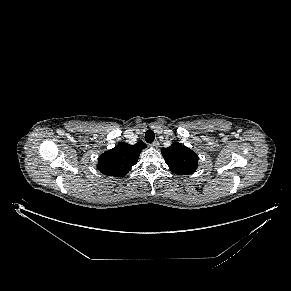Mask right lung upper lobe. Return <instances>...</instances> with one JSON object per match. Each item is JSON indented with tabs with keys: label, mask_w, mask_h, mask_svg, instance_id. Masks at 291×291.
<instances>
[{
	"label": "right lung upper lobe",
	"mask_w": 291,
	"mask_h": 291,
	"mask_svg": "<svg viewBox=\"0 0 291 291\" xmlns=\"http://www.w3.org/2000/svg\"><path fill=\"white\" fill-rule=\"evenodd\" d=\"M144 148H146V145L142 141L135 145L120 142L116 147L104 152L98 158L97 168L104 175L122 177L137 163Z\"/></svg>",
	"instance_id": "1"
}]
</instances>
